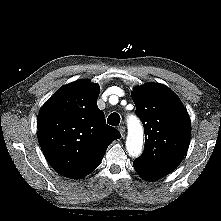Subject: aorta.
<instances>
[{
	"label": "aorta",
	"instance_id": "762f6f07",
	"mask_svg": "<svg viewBox=\"0 0 221 221\" xmlns=\"http://www.w3.org/2000/svg\"><path fill=\"white\" fill-rule=\"evenodd\" d=\"M143 129L140 121L135 116L128 118V136L126 149L130 156L138 157L142 152Z\"/></svg>",
	"mask_w": 221,
	"mask_h": 221
}]
</instances>
